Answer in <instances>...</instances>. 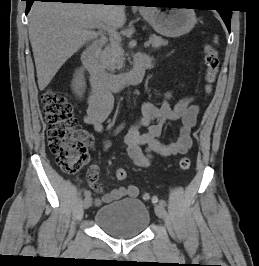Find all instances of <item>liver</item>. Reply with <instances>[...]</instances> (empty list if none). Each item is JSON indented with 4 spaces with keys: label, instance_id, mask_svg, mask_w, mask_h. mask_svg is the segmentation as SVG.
Wrapping results in <instances>:
<instances>
[{
    "label": "liver",
    "instance_id": "6515ba94",
    "mask_svg": "<svg viewBox=\"0 0 259 266\" xmlns=\"http://www.w3.org/2000/svg\"><path fill=\"white\" fill-rule=\"evenodd\" d=\"M29 19L38 87L44 90L61 66L99 35L93 24L121 28L126 20L123 5L34 2Z\"/></svg>",
    "mask_w": 259,
    "mask_h": 266
}]
</instances>
